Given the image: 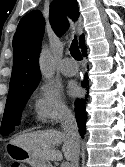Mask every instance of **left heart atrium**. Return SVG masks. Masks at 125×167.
Masks as SVG:
<instances>
[{
  "label": "left heart atrium",
  "instance_id": "39dd6f15",
  "mask_svg": "<svg viewBox=\"0 0 125 167\" xmlns=\"http://www.w3.org/2000/svg\"><path fill=\"white\" fill-rule=\"evenodd\" d=\"M69 93H70L73 97H76V96H78L79 93H80V88L78 87L77 84L72 83V84L69 86Z\"/></svg>",
  "mask_w": 125,
  "mask_h": 167
}]
</instances>
